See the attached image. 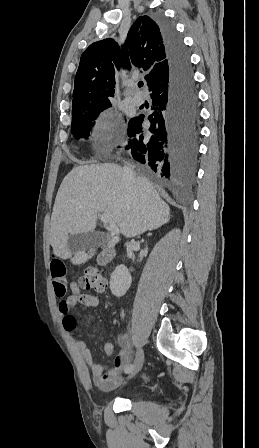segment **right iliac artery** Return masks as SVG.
Returning <instances> with one entry per match:
<instances>
[{"label": "right iliac artery", "mask_w": 259, "mask_h": 448, "mask_svg": "<svg viewBox=\"0 0 259 448\" xmlns=\"http://www.w3.org/2000/svg\"><path fill=\"white\" fill-rule=\"evenodd\" d=\"M133 368H134V365L130 364L124 369V371H125V373H131L133 371Z\"/></svg>", "instance_id": "1"}]
</instances>
